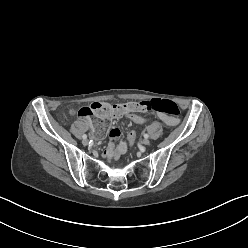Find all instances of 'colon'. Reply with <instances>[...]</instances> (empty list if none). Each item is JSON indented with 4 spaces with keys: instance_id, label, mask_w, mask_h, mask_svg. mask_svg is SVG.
I'll return each mask as SVG.
<instances>
[{
    "instance_id": "colon-1",
    "label": "colon",
    "mask_w": 248,
    "mask_h": 248,
    "mask_svg": "<svg viewBox=\"0 0 248 248\" xmlns=\"http://www.w3.org/2000/svg\"><path fill=\"white\" fill-rule=\"evenodd\" d=\"M138 111L148 113L151 110L159 113H164L170 116H177L180 113L178 105L167 99H154L151 101L127 102L123 104L95 103L92 106L82 107L78 110V116L83 119H93L95 127L94 136L98 140H103L106 137V132L111 129V118L121 115L124 111ZM127 118L136 123L138 127L153 125L155 118L153 116L136 114L133 112L127 113ZM136 139L134 131L127 134V140L130 145H133Z\"/></svg>"
}]
</instances>
